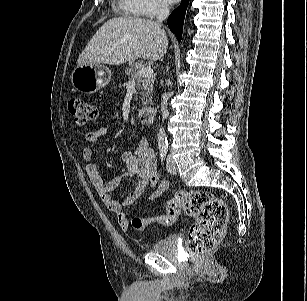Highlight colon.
I'll use <instances>...</instances> for the list:
<instances>
[{
	"label": "colon",
	"instance_id": "colon-1",
	"mask_svg": "<svg viewBox=\"0 0 307 301\" xmlns=\"http://www.w3.org/2000/svg\"><path fill=\"white\" fill-rule=\"evenodd\" d=\"M69 111L79 126L96 120L97 107L81 98L69 102ZM193 217L188 230L186 247L189 253L200 256L221 240L224 234L228 211L225 202L206 190L177 191L166 204V213L159 217H135L132 226L136 230H145L152 224L170 226L181 213Z\"/></svg>",
	"mask_w": 307,
	"mask_h": 301
}]
</instances>
